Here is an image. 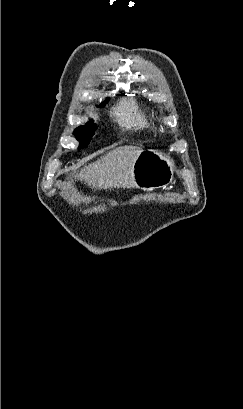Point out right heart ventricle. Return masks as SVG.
<instances>
[{
  "instance_id": "1",
  "label": "right heart ventricle",
  "mask_w": 243,
  "mask_h": 409,
  "mask_svg": "<svg viewBox=\"0 0 243 409\" xmlns=\"http://www.w3.org/2000/svg\"><path fill=\"white\" fill-rule=\"evenodd\" d=\"M117 122L127 128L150 129L153 125V115L142 104L134 99L124 100L115 110Z\"/></svg>"
}]
</instances>
